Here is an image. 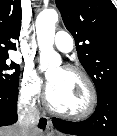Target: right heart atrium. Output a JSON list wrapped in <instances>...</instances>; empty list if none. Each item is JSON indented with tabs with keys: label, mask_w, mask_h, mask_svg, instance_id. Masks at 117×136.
<instances>
[{
	"label": "right heart atrium",
	"mask_w": 117,
	"mask_h": 136,
	"mask_svg": "<svg viewBox=\"0 0 117 136\" xmlns=\"http://www.w3.org/2000/svg\"><path fill=\"white\" fill-rule=\"evenodd\" d=\"M43 82L33 69H25L21 75L19 94L28 105H35L42 95Z\"/></svg>",
	"instance_id": "obj_1"
}]
</instances>
